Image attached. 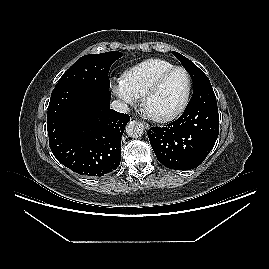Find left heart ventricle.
<instances>
[{
  "instance_id": "left-heart-ventricle-1",
  "label": "left heart ventricle",
  "mask_w": 269,
  "mask_h": 269,
  "mask_svg": "<svg viewBox=\"0 0 269 269\" xmlns=\"http://www.w3.org/2000/svg\"><path fill=\"white\" fill-rule=\"evenodd\" d=\"M187 84V77L183 71L171 74L158 92L149 99L147 111L153 115H162L176 109L185 96Z\"/></svg>"
}]
</instances>
